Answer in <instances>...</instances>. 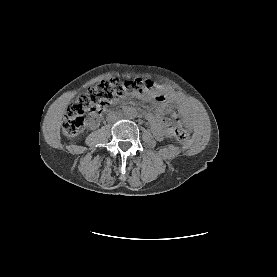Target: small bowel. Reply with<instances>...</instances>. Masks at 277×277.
I'll use <instances>...</instances> for the list:
<instances>
[{"label":"small bowel","mask_w":277,"mask_h":277,"mask_svg":"<svg viewBox=\"0 0 277 277\" xmlns=\"http://www.w3.org/2000/svg\"><path fill=\"white\" fill-rule=\"evenodd\" d=\"M163 101L160 107L155 112L145 111L144 116L149 120L151 124L152 131L157 139H163L169 137L172 134L174 127V122H165L163 120V114L167 107V98L162 97ZM98 124L96 117H91L89 119V125L91 127H96Z\"/></svg>","instance_id":"1"}]
</instances>
